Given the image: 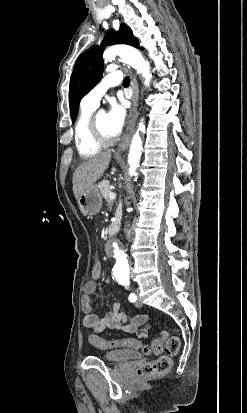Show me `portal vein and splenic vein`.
<instances>
[{"label":"portal vein and splenic vein","mask_w":247,"mask_h":413,"mask_svg":"<svg viewBox=\"0 0 247 413\" xmlns=\"http://www.w3.org/2000/svg\"><path fill=\"white\" fill-rule=\"evenodd\" d=\"M109 198H116V192H109Z\"/></svg>","instance_id":"portal-vein-and-splenic-vein-1"}]
</instances>
